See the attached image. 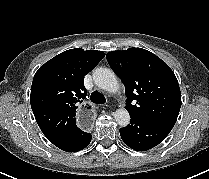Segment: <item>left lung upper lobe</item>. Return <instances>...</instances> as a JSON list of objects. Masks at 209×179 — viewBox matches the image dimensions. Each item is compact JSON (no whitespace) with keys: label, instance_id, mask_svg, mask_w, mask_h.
<instances>
[{"label":"left lung upper lobe","instance_id":"obj_1","mask_svg":"<svg viewBox=\"0 0 209 179\" xmlns=\"http://www.w3.org/2000/svg\"><path fill=\"white\" fill-rule=\"evenodd\" d=\"M106 58L125 85L126 110L173 127L181 107V92L169 66L142 48L112 51Z\"/></svg>","mask_w":209,"mask_h":179}]
</instances>
